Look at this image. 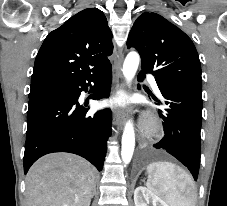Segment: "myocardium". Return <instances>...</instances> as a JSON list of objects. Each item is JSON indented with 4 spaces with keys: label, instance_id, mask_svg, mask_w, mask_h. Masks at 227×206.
I'll return each instance as SVG.
<instances>
[{
    "label": "myocardium",
    "instance_id": "1",
    "mask_svg": "<svg viewBox=\"0 0 227 206\" xmlns=\"http://www.w3.org/2000/svg\"><path fill=\"white\" fill-rule=\"evenodd\" d=\"M161 131L160 123L154 115L145 117L142 123V132L148 138L158 137Z\"/></svg>",
    "mask_w": 227,
    "mask_h": 206
}]
</instances>
